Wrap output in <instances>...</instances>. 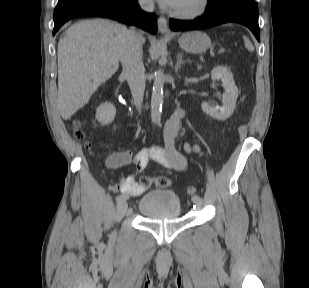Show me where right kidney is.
I'll return each mask as SVG.
<instances>
[{
  "instance_id": "1",
  "label": "right kidney",
  "mask_w": 309,
  "mask_h": 288,
  "mask_svg": "<svg viewBox=\"0 0 309 288\" xmlns=\"http://www.w3.org/2000/svg\"><path fill=\"white\" fill-rule=\"evenodd\" d=\"M115 115L116 108L111 103H103L96 110V119L103 125L111 123Z\"/></svg>"
}]
</instances>
